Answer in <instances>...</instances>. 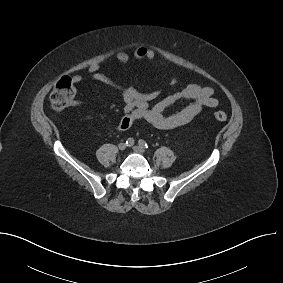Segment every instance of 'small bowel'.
<instances>
[{
    "label": "small bowel",
    "instance_id": "1",
    "mask_svg": "<svg viewBox=\"0 0 283 283\" xmlns=\"http://www.w3.org/2000/svg\"><path fill=\"white\" fill-rule=\"evenodd\" d=\"M131 57L137 60H146L164 68V63L158 58L156 52L144 46L134 48L131 54L125 51H120L116 54V60L123 65L127 64ZM88 72L92 80L100 82L120 93L124 102V115L119 121L117 129L121 132L130 129L137 120H145L158 129L177 128L189 123L204 108H214L219 103L214 97L213 88L199 84H189L161 101L151 104V101L160 94V89L141 93L133 87L119 85L102 73L98 64L90 65ZM83 79L81 75L72 77L75 83H80ZM165 81L170 87H175L178 83L177 78L169 74H165ZM182 99L191 100V102L175 113L164 114V111L169 106ZM75 104H79V101H76Z\"/></svg>",
    "mask_w": 283,
    "mask_h": 283
}]
</instances>
